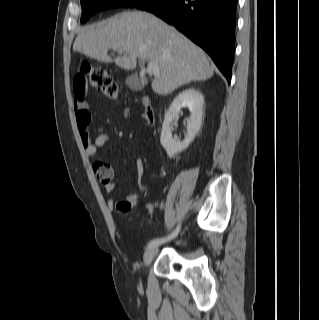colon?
Instances as JSON below:
<instances>
[{
  "mask_svg": "<svg viewBox=\"0 0 319 320\" xmlns=\"http://www.w3.org/2000/svg\"><path fill=\"white\" fill-rule=\"evenodd\" d=\"M87 82L109 99L118 97V86L114 82L111 73L105 68L94 66L88 62L82 63L79 74L74 78V87L85 86ZM126 113L129 114V111ZM100 169L111 171V166L106 162H96L94 164L95 173ZM100 179L103 180L104 178L100 177ZM116 207L120 212H129L132 208V203L129 200H121Z\"/></svg>",
  "mask_w": 319,
  "mask_h": 320,
  "instance_id": "colon-1",
  "label": "colon"
}]
</instances>
